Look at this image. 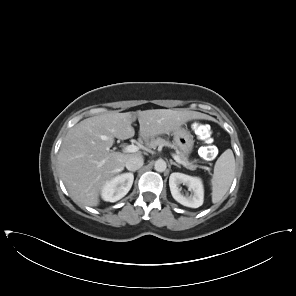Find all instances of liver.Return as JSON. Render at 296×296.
Listing matches in <instances>:
<instances>
[{"label": "liver", "instance_id": "6515ba94", "mask_svg": "<svg viewBox=\"0 0 296 296\" xmlns=\"http://www.w3.org/2000/svg\"><path fill=\"white\" fill-rule=\"evenodd\" d=\"M138 118L139 136L147 141L181 128L189 120L210 119L206 114L171 109L138 112H109L82 120L66 134L58 155L61 178L74 202L97 206L104 184L124 169L126 161L140 153L110 150L114 137L126 140L135 135L132 122Z\"/></svg>", "mask_w": 296, "mask_h": 296}]
</instances>
